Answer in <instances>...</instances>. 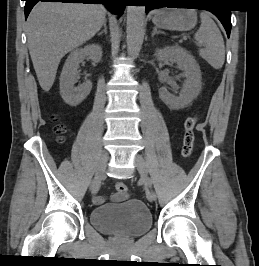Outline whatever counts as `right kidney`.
<instances>
[{
    "label": "right kidney",
    "mask_w": 259,
    "mask_h": 266,
    "mask_svg": "<svg viewBox=\"0 0 259 266\" xmlns=\"http://www.w3.org/2000/svg\"><path fill=\"white\" fill-rule=\"evenodd\" d=\"M101 56L102 48L97 44H89L84 48L75 49L68 56L60 75V94L70 106L79 105L92 89V83L89 80L78 87H74L79 64L86 57H89L93 64H96L100 61Z\"/></svg>",
    "instance_id": "obj_1"
}]
</instances>
